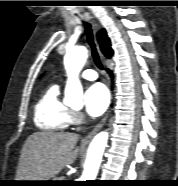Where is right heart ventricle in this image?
Here are the masks:
<instances>
[{
  "label": "right heart ventricle",
  "mask_w": 178,
  "mask_h": 186,
  "mask_svg": "<svg viewBox=\"0 0 178 186\" xmlns=\"http://www.w3.org/2000/svg\"><path fill=\"white\" fill-rule=\"evenodd\" d=\"M71 114L60 98L59 87L51 86L35 105L34 122L42 131L59 132L70 125Z\"/></svg>",
  "instance_id": "obj_1"
}]
</instances>
